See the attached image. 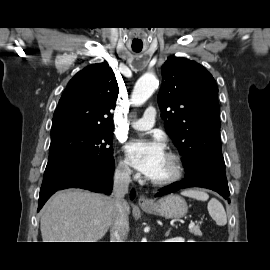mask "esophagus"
Instances as JSON below:
<instances>
[{
    "label": "esophagus",
    "mask_w": 270,
    "mask_h": 270,
    "mask_svg": "<svg viewBox=\"0 0 270 270\" xmlns=\"http://www.w3.org/2000/svg\"><path fill=\"white\" fill-rule=\"evenodd\" d=\"M138 204L141 207L150 206V205H152V201L149 200L146 196L141 195L139 200H138Z\"/></svg>",
    "instance_id": "34e87169"
}]
</instances>
